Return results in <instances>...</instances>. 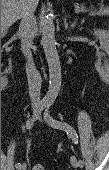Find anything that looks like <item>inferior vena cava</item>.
I'll return each mask as SVG.
<instances>
[{"instance_id": "602c4592", "label": "inferior vena cava", "mask_w": 109, "mask_h": 170, "mask_svg": "<svg viewBox=\"0 0 109 170\" xmlns=\"http://www.w3.org/2000/svg\"><path fill=\"white\" fill-rule=\"evenodd\" d=\"M35 31L36 18L34 16V10H31L30 6L26 4L21 14L19 32L22 39V52L27 58L26 74L29 86V96L33 106H37L40 103L41 95V76L34 65L31 53L32 39Z\"/></svg>"}]
</instances>
